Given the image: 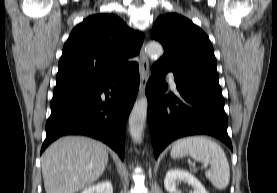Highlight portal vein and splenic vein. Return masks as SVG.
<instances>
[{"mask_svg":"<svg viewBox=\"0 0 277 193\" xmlns=\"http://www.w3.org/2000/svg\"><path fill=\"white\" fill-rule=\"evenodd\" d=\"M207 166H208V164H204V165L202 166V168H207Z\"/></svg>","mask_w":277,"mask_h":193,"instance_id":"1","label":"portal vein and splenic vein"}]
</instances>
